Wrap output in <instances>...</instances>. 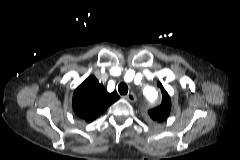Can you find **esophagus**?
I'll use <instances>...</instances> for the list:
<instances>
[{
  "label": "esophagus",
  "instance_id": "34e87169",
  "mask_svg": "<svg viewBox=\"0 0 240 160\" xmlns=\"http://www.w3.org/2000/svg\"><path fill=\"white\" fill-rule=\"evenodd\" d=\"M125 99H127L129 102H135L137 100L136 96L133 93H128L125 96Z\"/></svg>",
  "mask_w": 240,
  "mask_h": 160
}]
</instances>
